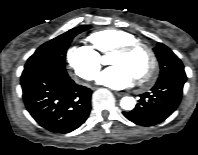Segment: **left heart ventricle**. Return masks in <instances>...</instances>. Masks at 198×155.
<instances>
[{
    "label": "left heart ventricle",
    "mask_w": 198,
    "mask_h": 155,
    "mask_svg": "<svg viewBox=\"0 0 198 155\" xmlns=\"http://www.w3.org/2000/svg\"><path fill=\"white\" fill-rule=\"evenodd\" d=\"M111 64L127 68L135 79H137L148 70L150 58L145 49L138 48L127 54L113 53L111 56Z\"/></svg>",
    "instance_id": "obj_1"
}]
</instances>
